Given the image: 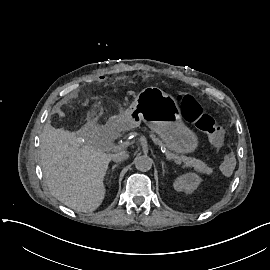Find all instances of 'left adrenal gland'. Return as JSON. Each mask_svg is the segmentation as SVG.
Instances as JSON below:
<instances>
[{
  "label": "left adrenal gland",
  "instance_id": "obj_1",
  "mask_svg": "<svg viewBox=\"0 0 270 270\" xmlns=\"http://www.w3.org/2000/svg\"><path fill=\"white\" fill-rule=\"evenodd\" d=\"M161 164H162V174L164 175L165 174L164 162H161Z\"/></svg>",
  "mask_w": 270,
  "mask_h": 270
}]
</instances>
